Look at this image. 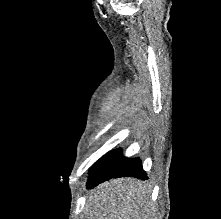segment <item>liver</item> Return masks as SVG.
Masks as SVG:
<instances>
[{"instance_id": "6515ba94", "label": "liver", "mask_w": 221, "mask_h": 219, "mask_svg": "<svg viewBox=\"0 0 221 219\" xmlns=\"http://www.w3.org/2000/svg\"><path fill=\"white\" fill-rule=\"evenodd\" d=\"M150 192L135 178L112 179L89 192L84 209L88 219H153Z\"/></svg>"}]
</instances>
